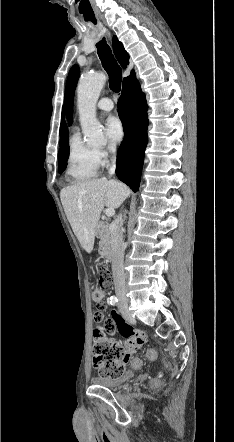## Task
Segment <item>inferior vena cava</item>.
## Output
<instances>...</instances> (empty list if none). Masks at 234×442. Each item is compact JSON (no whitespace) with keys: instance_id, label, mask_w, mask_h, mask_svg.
Returning <instances> with one entry per match:
<instances>
[{"instance_id":"obj_1","label":"inferior vena cava","mask_w":234,"mask_h":442,"mask_svg":"<svg viewBox=\"0 0 234 442\" xmlns=\"http://www.w3.org/2000/svg\"><path fill=\"white\" fill-rule=\"evenodd\" d=\"M115 160L110 168V175L115 173ZM123 219L120 214L115 222L111 231V243H112V273L115 285V292L119 299L126 301V283L124 274V242H123Z\"/></svg>"}]
</instances>
